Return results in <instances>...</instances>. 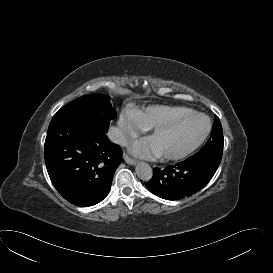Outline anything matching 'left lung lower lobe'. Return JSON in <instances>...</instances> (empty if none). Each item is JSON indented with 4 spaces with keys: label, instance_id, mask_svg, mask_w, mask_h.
I'll use <instances>...</instances> for the list:
<instances>
[{
    "label": "left lung lower lobe",
    "instance_id": "obj_1",
    "mask_svg": "<svg viewBox=\"0 0 273 273\" xmlns=\"http://www.w3.org/2000/svg\"><path fill=\"white\" fill-rule=\"evenodd\" d=\"M216 170L209 163L186 159L163 170L154 168L153 178L146 183V187L158 197L178 200L201 190Z\"/></svg>",
    "mask_w": 273,
    "mask_h": 273
}]
</instances>
